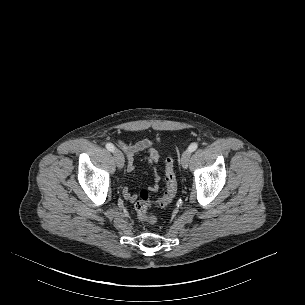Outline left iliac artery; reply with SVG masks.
Segmentation results:
<instances>
[{"label": "left iliac artery", "mask_w": 305, "mask_h": 305, "mask_svg": "<svg viewBox=\"0 0 305 305\" xmlns=\"http://www.w3.org/2000/svg\"><path fill=\"white\" fill-rule=\"evenodd\" d=\"M197 148H198V144H197V143H192V144L189 146L188 150H189L190 152H193V151H195Z\"/></svg>", "instance_id": "1"}]
</instances>
